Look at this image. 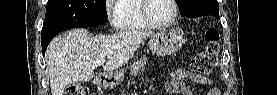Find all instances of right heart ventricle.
I'll use <instances>...</instances> for the list:
<instances>
[{
  "mask_svg": "<svg viewBox=\"0 0 277 95\" xmlns=\"http://www.w3.org/2000/svg\"><path fill=\"white\" fill-rule=\"evenodd\" d=\"M144 0H118L116 1L118 29L134 31L149 28L142 15Z\"/></svg>",
  "mask_w": 277,
  "mask_h": 95,
  "instance_id": "right-heart-ventricle-1",
  "label": "right heart ventricle"
}]
</instances>
